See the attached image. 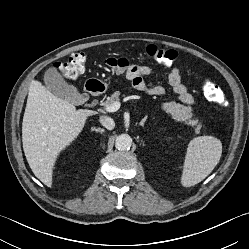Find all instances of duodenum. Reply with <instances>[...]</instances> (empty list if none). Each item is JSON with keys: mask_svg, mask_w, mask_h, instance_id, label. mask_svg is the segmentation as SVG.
I'll return each mask as SVG.
<instances>
[{"mask_svg": "<svg viewBox=\"0 0 249 249\" xmlns=\"http://www.w3.org/2000/svg\"><path fill=\"white\" fill-rule=\"evenodd\" d=\"M85 91L91 95V96H99L102 91H103V87L100 83L98 82H92V81H88L86 83V86H85Z\"/></svg>", "mask_w": 249, "mask_h": 249, "instance_id": "obj_1", "label": "duodenum"}]
</instances>
